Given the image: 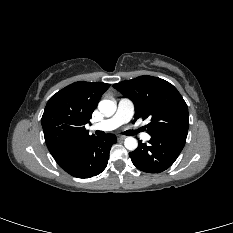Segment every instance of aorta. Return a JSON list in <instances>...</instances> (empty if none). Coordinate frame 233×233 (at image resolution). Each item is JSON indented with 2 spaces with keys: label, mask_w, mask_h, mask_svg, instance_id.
I'll return each instance as SVG.
<instances>
[{
  "label": "aorta",
  "mask_w": 233,
  "mask_h": 233,
  "mask_svg": "<svg viewBox=\"0 0 233 233\" xmlns=\"http://www.w3.org/2000/svg\"><path fill=\"white\" fill-rule=\"evenodd\" d=\"M98 109L105 117H111L116 112L117 105L112 100H102L98 104ZM124 146L133 151L138 147V141L133 137H127Z\"/></svg>",
  "instance_id": "762f6f07"
}]
</instances>
